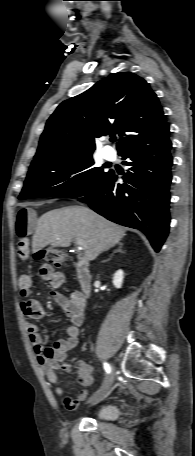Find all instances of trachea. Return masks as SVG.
<instances>
[{"instance_id": "3493384b", "label": "trachea", "mask_w": 195, "mask_h": 456, "mask_svg": "<svg viewBox=\"0 0 195 456\" xmlns=\"http://www.w3.org/2000/svg\"><path fill=\"white\" fill-rule=\"evenodd\" d=\"M116 139L115 138H112L111 141L114 142Z\"/></svg>"}]
</instances>
